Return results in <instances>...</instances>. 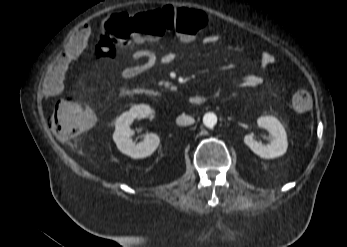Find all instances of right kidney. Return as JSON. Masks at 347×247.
Wrapping results in <instances>:
<instances>
[{
  "label": "right kidney",
  "mask_w": 347,
  "mask_h": 247,
  "mask_svg": "<svg viewBox=\"0 0 347 247\" xmlns=\"http://www.w3.org/2000/svg\"><path fill=\"white\" fill-rule=\"evenodd\" d=\"M152 112L148 105L142 104L132 107L116 119L113 140L122 153L134 159H140L150 156L156 150L160 142L156 134H147L144 140L137 144L131 139L133 131L130 125L132 122L135 119L145 118Z\"/></svg>",
  "instance_id": "ca27d5eb"
}]
</instances>
